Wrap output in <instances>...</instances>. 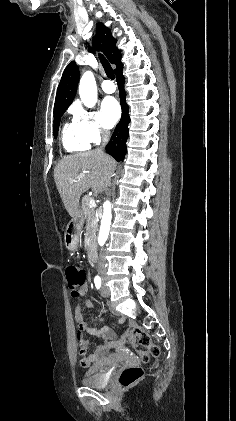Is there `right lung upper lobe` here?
<instances>
[{
	"label": "right lung upper lobe",
	"instance_id": "1",
	"mask_svg": "<svg viewBox=\"0 0 236 421\" xmlns=\"http://www.w3.org/2000/svg\"><path fill=\"white\" fill-rule=\"evenodd\" d=\"M93 45L95 49L103 51L108 60L116 65L115 73L122 67V54L115 47L116 40L113 38L110 29L103 23L97 25ZM78 81L79 70L75 62L72 61L63 72L56 94L54 110L69 107L75 97Z\"/></svg>",
	"mask_w": 236,
	"mask_h": 421
}]
</instances>
